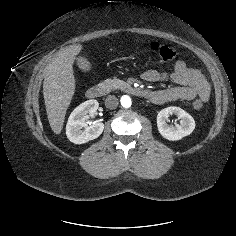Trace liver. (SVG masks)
I'll list each match as a JSON object with an SVG mask.
<instances>
[{
    "label": "liver",
    "mask_w": 236,
    "mask_h": 236,
    "mask_svg": "<svg viewBox=\"0 0 236 236\" xmlns=\"http://www.w3.org/2000/svg\"><path fill=\"white\" fill-rule=\"evenodd\" d=\"M82 48L77 44L61 49L45 68L43 95L48 121L55 134L63 129L66 111L75 93L73 63Z\"/></svg>",
    "instance_id": "liver-1"
}]
</instances>
